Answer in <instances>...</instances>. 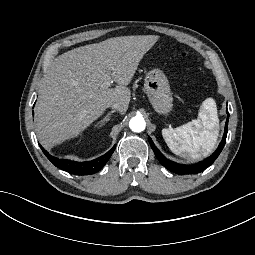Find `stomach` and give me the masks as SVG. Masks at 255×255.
I'll return each instance as SVG.
<instances>
[{
    "label": "stomach",
    "mask_w": 255,
    "mask_h": 255,
    "mask_svg": "<svg viewBox=\"0 0 255 255\" xmlns=\"http://www.w3.org/2000/svg\"><path fill=\"white\" fill-rule=\"evenodd\" d=\"M144 90L156 112L168 114L173 107L169 81L163 71L154 69L146 73Z\"/></svg>",
    "instance_id": "stomach-1"
}]
</instances>
